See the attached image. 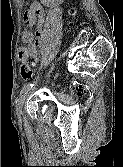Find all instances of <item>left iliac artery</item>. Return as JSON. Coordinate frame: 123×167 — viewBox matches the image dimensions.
Returning a JSON list of instances; mask_svg holds the SVG:
<instances>
[{
	"instance_id": "obj_1",
	"label": "left iliac artery",
	"mask_w": 123,
	"mask_h": 167,
	"mask_svg": "<svg viewBox=\"0 0 123 167\" xmlns=\"http://www.w3.org/2000/svg\"><path fill=\"white\" fill-rule=\"evenodd\" d=\"M54 66H55V63H53V64L51 65V68H50V69H53ZM34 83H35V82H30V83L26 84V85L22 88L20 94H21V95L26 94L31 88H33Z\"/></svg>"
}]
</instances>
